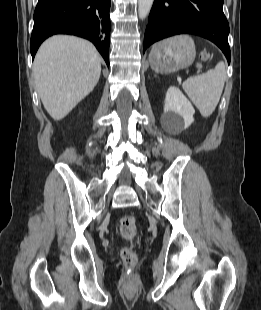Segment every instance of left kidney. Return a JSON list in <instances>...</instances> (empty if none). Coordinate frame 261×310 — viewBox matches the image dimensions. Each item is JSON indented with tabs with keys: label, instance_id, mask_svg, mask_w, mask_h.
<instances>
[{
	"label": "left kidney",
	"instance_id": "1",
	"mask_svg": "<svg viewBox=\"0 0 261 310\" xmlns=\"http://www.w3.org/2000/svg\"><path fill=\"white\" fill-rule=\"evenodd\" d=\"M194 107L184 94L176 87L170 86L166 93L163 126L171 132L188 128L194 121Z\"/></svg>",
	"mask_w": 261,
	"mask_h": 310
}]
</instances>
